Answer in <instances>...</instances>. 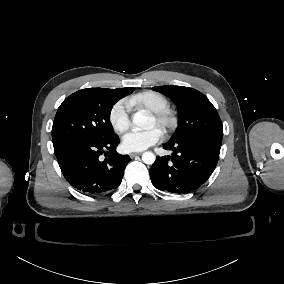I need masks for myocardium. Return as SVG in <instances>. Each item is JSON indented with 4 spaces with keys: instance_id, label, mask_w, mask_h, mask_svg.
<instances>
[{
    "instance_id": "1",
    "label": "myocardium",
    "mask_w": 284,
    "mask_h": 284,
    "mask_svg": "<svg viewBox=\"0 0 284 284\" xmlns=\"http://www.w3.org/2000/svg\"><path fill=\"white\" fill-rule=\"evenodd\" d=\"M156 127L163 133H167L171 127V117L168 112L161 111L154 114Z\"/></svg>"
}]
</instances>
